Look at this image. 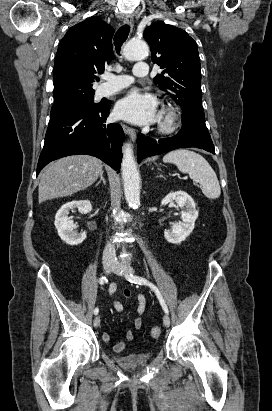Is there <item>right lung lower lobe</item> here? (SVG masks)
I'll return each instance as SVG.
<instances>
[{
  "label": "right lung lower lobe",
  "mask_w": 272,
  "mask_h": 411,
  "mask_svg": "<svg viewBox=\"0 0 272 411\" xmlns=\"http://www.w3.org/2000/svg\"><path fill=\"white\" fill-rule=\"evenodd\" d=\"M110 102L84 107L50 118L37 175L49 162L61 157L87 154L120 168L124 132L117 123H106Z\"/></svg>",
  "instance_id": "98d812e1"
}]
</instances>
